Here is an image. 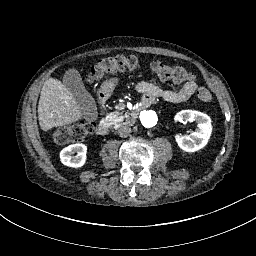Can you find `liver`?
I'll list each match as a JSON object with an SVG mask.
<instances>
[{"label":"liver","mask_w":256,"mask_h":256,"mask_svg":"<svg viewBox=\"0 0 256 256\" xmlns=\"http://www.w3.org/2000/svg\"><path fill=\"white\" fill-rule=\"evenodd\" d=\"M82 114L73 94L61 81L49 78L41 89L38 104L39 125L43 131L81 119Z\"/></svg>","instance_id":"6515ba94"}]
</instances>
